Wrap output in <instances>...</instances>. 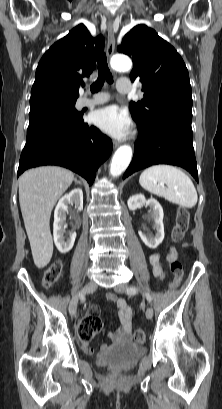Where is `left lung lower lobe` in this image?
<instances>
[{
  "label": "left lung lower lobe",
  "mask_w": 222,
  "mask_h": 409,
  "mask_svg": "<svg viewBox=\"0 0 222 409\" xmlns=\"http://www.w3.org/2000/svg\"><path fill=\"white\" fill-rule=\"evenodd\" d=\"M137 124L139 140L123 179L151 165L170 164L185 168L198 182L191 122L168 116Z\"/></svg>",
  "instance_id": "obj_1"
}]
</instances>
